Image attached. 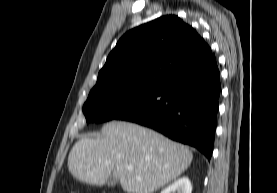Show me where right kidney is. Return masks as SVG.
Wrapping results in <instances>:
<instances>
[{"label": "right kidney", "mask_w": 277, "mask_h": 193, "mask_svg": "<svg viewBox=\"0 0 277 193\" xmlns=\"http://www.w3.org/2000/svg\"><path fill=\"white\" fill-rule=\"evenodd\" d=\"M192 185L187 177L176 180L173 184L161 191V193H191Z\"/></svg>", "instance_id": "1"}]
</instances>
